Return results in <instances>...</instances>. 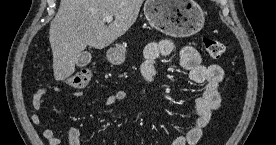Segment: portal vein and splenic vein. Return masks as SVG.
Returning a JSON list of instances; mask_svg holds the SVG:
<instances>
[{
  "mask_svg": "<svg viewBox=\"0 0 276 145\" xmlns=\"http://www.w3.org/2000/svg\"><path fill=\"white\" fill-rule=\"evenodd\" d=\"M104 21L107 22V23L112 22V21H113V16H106V17L104 18Z\"/></svg>",
  "mask_w": 276,
  "mask_h": 145,
  "instance_id": "obj_1",
  "label": "portal vein and splenic vein"
}]
</instances>
